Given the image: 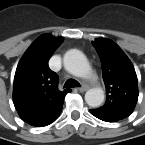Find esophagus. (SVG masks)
<instances>
[{
	"label": "esophagus",
	"mask_w": 145,
	"mask_h": 145,
	"mask_svg": "<svg viewBox=\"0 0 145 145\" xmlns=\"http://www.w3.org/2000/svg\"><path fill=\"white\" fill-rule=\"evenodd\" d=\"M89 89V87L87 86V85H82L78 90L80 91V92H85V91H87Z\"/></svg>",
	"instance_id": "obj_1"
}]
</instances>
